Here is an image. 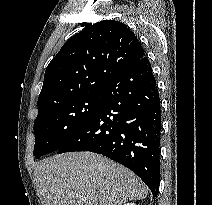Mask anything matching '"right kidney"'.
Wrapping results in <instances>:
<instances>
[{
    "label": "right kidney",
    "mask_w": 212,
    "mask_h": 205,
    "mask_svg": "<svg viewBox=\"0 0 212 205\" xmlns=\"http://www.w3.org/2000/svg\"><path fill=\"white\" fill-rule=\"evenodd\" d=\"M124 205H136V204H134V203H126Z\"/></svg>",
    "instance_id": "ca27d5eb"
}]
</instances>
